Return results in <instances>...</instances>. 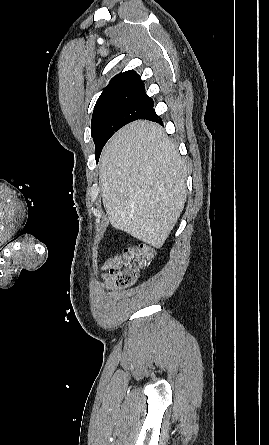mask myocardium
<instances>
[{"label": "myocardium", "instance_id": "myocardium-1", "mask_svg": "<svg viewBox=\"0 0 269 445\" xmlns=\"http://www.w3.org/2000/svg\"><path fill=\"white\" fill-rule=\"evenodd\" d=\"M12 234H9L7 236H5L4 238L0 239V243H4L7 239H9L11 237Z\"/></svg>", "mask_w": 269, "mask_h": 445}]
</instances>
